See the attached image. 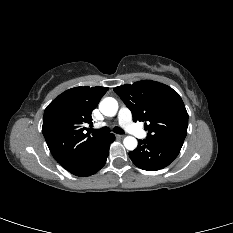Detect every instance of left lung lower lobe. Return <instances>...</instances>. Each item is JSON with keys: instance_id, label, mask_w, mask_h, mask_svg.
<instances>
[{"instance_id": "obj_1", "label": "left lung lower lobe", "mask_w": 233, "mask_h": 233, "mask_svg": "<svg viewBox=\"0 0 233 233\" xmlns=\"http://www.w3.org/2000/svg\"><path fill=\"white\" fill-rule=\"evenodd\" d=\"M182 145V141L139 140L137 148L129 152V156L137 167L156 171L167 167L177 157Z\"/></svg>"}]
</instances>
